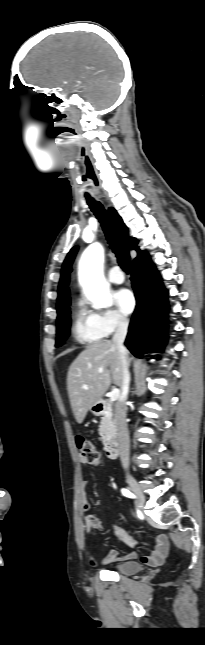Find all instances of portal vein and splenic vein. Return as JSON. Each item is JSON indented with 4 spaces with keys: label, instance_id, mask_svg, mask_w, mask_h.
<instances>
[{
    "label": "portal vein and splenic vein",
    "instance_id": "18ae733b",
    "mask_svg": "<svg viewBox=\"0 0 205 645\" xmlns=\"http://www.w3.org/2000/svg\"><path fill=\"white\" fill-rule=\"evenodd\" d=\"M120 395L119 389L115 388L110 394V401H116Z\"/></svg>",
    "mask_w": 205,
    "mask_h": 645
}]
</instances>
